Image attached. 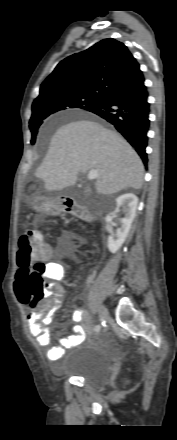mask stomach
Wrapping results in <instances>:
<instances>
[{"mask_svg": "<svg viewBox=\"0 0 177 440\" xmlns=\"http://www.w3.org/2000/svg\"><path fill=\"white\" fill-rule=\"evenodd\" d=\"M31 206L35 211L42 214H54L61 210V206L55 198H37Z\"/></svg>", "mask_w": 177, "mask_h": 440, "instance_id": "1", "label": "stomach"}]
</instances>
